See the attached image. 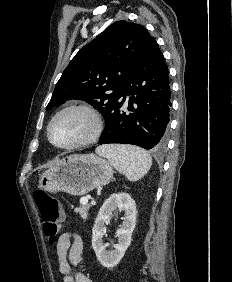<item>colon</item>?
I'll return each mask as SVG.
<instances>
[{
    "label": "colon",
    "instance_id": "obj_1",
    "mask_svg": "<svg viewBox=\"0 0 232 282\" xmlns=\"http://www.w3.org/2000/svg\"><path fill=\"white\" fill-rule=\"evenodd\" d=\"M33 199L42 218L44 233L50 240H53L61 226L58 202L45 191L34 192Z\"/></svg>",
    "mask_w": 232,
    "mask_h": 282
}]
</instances>
